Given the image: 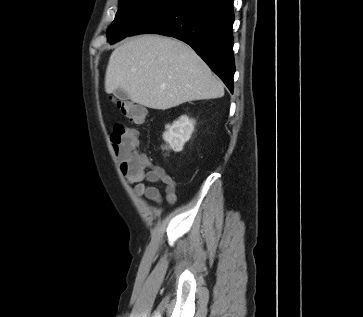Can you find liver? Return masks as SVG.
I'll use <instances>...</instances> for the list:
<instances>
[{"instance_id": "6515ba94", "label": "liver", "mask_w": 363, "mask_h": 317, "mask_svg": "<svg viewBox=\"0 0 363 317\" xmlns=\"http://www.w3.org/2000/svg\"><path fill=\"white\" fill-rule=\"evenodd\" d=\"M118 88L134 103L159 110L224 95L223 83L191 47L153 34L127 39L112 52L105 91Z\"/></svg>"}]
</instances>
